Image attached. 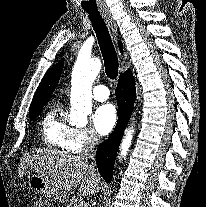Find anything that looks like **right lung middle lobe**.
I'll list each match as a JSON object with an SVG mask.
<instances>
[{
  "instance_id": "right-lung-middle-lobe-1",
  "label": "right lung middle lobe",
  "mask_w": 206,
  "mask_h": 207,
  "mask_svg": "<svg viewBox=\"0 0 206 207\" xmlns=\"http://www.w3.org/2000/svg\"><path fill=\"white\" fill-rule=\"evenodd\" d=\"M44 105H41V106H38V107H35V108H32V109H29V117L32 119V120H35L36 117L40 114V112L42 111V107Z\"/></svg>"
}]
</instances>
